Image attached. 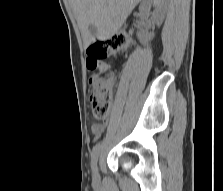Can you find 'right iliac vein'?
Here are the masks:
<instances>
[{"mask_svg": "<svg viewBox=\"0 0 223 191\" xmlns=\"http://www.w3.org/2000/svg\"><path fill=\"white\" fill-rule=\"evenodd\" d=\"M93 176L94 177H97V167H94L93 168Z\"/></svg>", "mask_w": 223, "mask_h": 191, "instance_id": "1", "label": "right iliac vein"}]
</instances>
